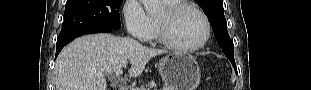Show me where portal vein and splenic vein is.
<instances>
[{
  "label": "portal vein and splenic vein",
  "instance_id": "18ae733b",
  "mask_svg": "<svg viewBox=\"0 0 311 90\" xmlns=\"http://www.w3.org/2000/svg\"><path fill=\"white\" fill-rule=\"evenodd\" d=\"M115 74H116V76H121L123 74V70L122 69H118V70L115 71ZM100 75H102V74H100ZM136 90H140V89L136 88Z\"/></svg>",
  "mask_w": 311,
  "mask_h": 90
}]
</instances>
